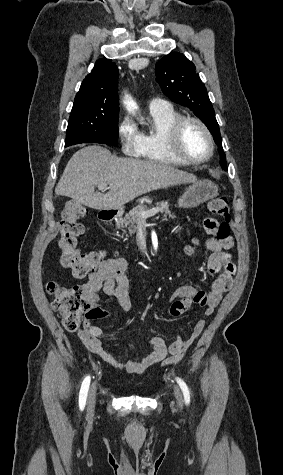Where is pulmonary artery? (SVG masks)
Listing matches in <instances>:
<instances>
[{
    "mask_svg": "<svg viewBox=\"0 0 283 475\" xmlns=\"http://www.w3.org/2000/svg\"><path fill=\"white\" fill-rule=\"evenodd\" d=\"M169 103L162 100V99H159V98H152L150 101H149V108L153 109V108H158V107H163V106H168Z\"/></svg>",
    "mask_w": 283,
    "mask_h": 475,
    "instance_id": "e3ab8cb5",
    "label": "pulmonary artery"
}]
</instances>
